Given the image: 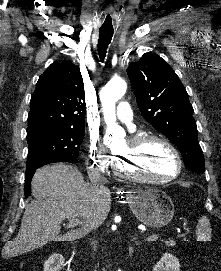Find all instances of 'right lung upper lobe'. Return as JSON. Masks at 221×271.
I'll return each mask as SVG.
<instances>
[{
  "label": "right lung upper lobe",
  "instance_id": "cb5924a9",
  "mask_svg": "<svg viewBox=\"0 0 221 271\" xmlns=\"http://www.w3.org/2000/svg\"><path fill=\"white\" fill-rule=\"evenodd\" d=\"M85 94L78 66L54 62L39 77L30 101L28 128L84 130Z\"/></svg>",
  "mask_w": 221,
  "mask_h": 271
}]
</instances>
